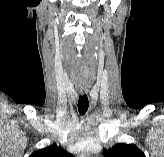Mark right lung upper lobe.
I'll return each mask as SVG.
<instances>
[{"instance_id":"cb5924a9","label":"right lung upper lobe","mask_w":164,"mask_h":157,"mask_svg":"<svg viewBox=\"0 0 164 157\" xmlns=\"http://www.w3.org/2000/svg\"><path fill=\"white\" fill-rule=\"evenodd\" d=\"M29 157H73L56 144L50 145L44 149L33 152Z\"/></svg>"}]
</instances>
